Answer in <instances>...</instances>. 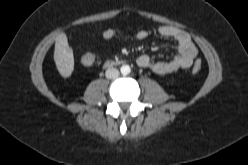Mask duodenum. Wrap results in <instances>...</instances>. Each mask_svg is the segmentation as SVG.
Segmentation results:
<instances>
[{"label": "duodenum", "mask_w": 248, "mask_h": 165, "mask_svg": "<svg viewBox=\"0 0 248 165\" xmlns=\"http://www.w3.org/2000/svg\"><path fill=\"white\" fill-rule=\"evenodd\" d=\"M115 64V61H107L106 63H105V66L106 67H111V66H113Z\"/></svg>", "instance_id": "obj_1"}]
</instances>
